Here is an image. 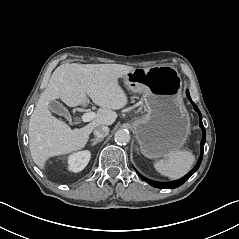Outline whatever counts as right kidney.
Listing matches in <instances>:
<instances>
[{"label":"right kidney","instance_id":"right-kidney-1","mask_svg":"<svg viewBox=\"0 0 239 239\" xmlns=\"http://www.w3.org/2000/svg\"><path fill=\"white\" fill-rule=\"evenodd\" d=\"M90 154L88 151L78 152L70 156L69 165L74 172L81 171L89 162Z\"/></svg>","mask_w":239,"mask_h":239}]
</instances>
